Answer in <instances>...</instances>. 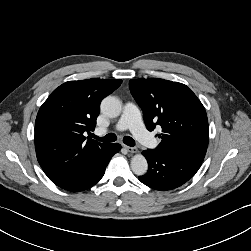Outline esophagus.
<instances>
[{
  "mask_svg": "<svg viewBox=\"0 0 251 251\" xmlns=\"http://www.w3.org/2000/svg\"><path fill=\"white\" fill-rule=\"evenodd\" d=\"M124 148L126 149L127 152L133 154L136 153L137 149L135 147H130V146H126L124 145Z\"/></svg>",
  "mask_w": 251,
  "mask_h": 251,
  "instance_id": "obj_1",
  "label": "esophagus"
}]
</instances>
